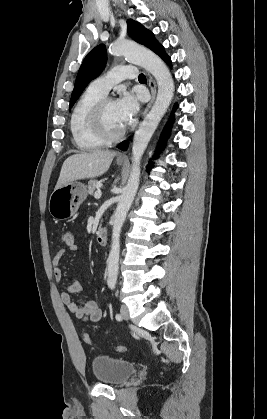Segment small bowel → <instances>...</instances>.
Here are the masks:
<instances>
[{
	"mask_svg": "<svg viewBox=\"0 0 267 419\" xmlns=\"http://www.w3.org/2000/svg\"><path fill=\"white\" fill-rule=\"evenodd\" d=\"M77 249V245H74L73 247L62 248L55 254L52 264L56 281H60L63 277V270L61 267L62 257L68 254H74L77 252ZM81 290L82 286L79 282H72L67 290L61 294L63 305L79 320L84 322H98L102 318V310L95 301H79L78 303L73 301L72 295L81 292Z\"/></svg>",
	"mask_w": 267,
	"mask_h": 419,
	"instance_id": "c3829d8e",
	"label": "small bowel"
}]
</instances>
